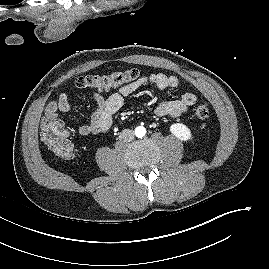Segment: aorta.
Segmentation results:
<instances>
[{"mask_svg":"<svg viewBox=\"0 0 269 269\" xmlns=\"http://www.w3.org/2000/svg\"><path fill=\"white\" fill-rule=\"evenodd\" d=\"M145 134H146V129L143 126H138L135 128V135L138 138L145 136Z\"/></svg>","mask_w":269,"mask_h":269,"instance_id":"obj_1","label":"aorta"}]
</instances>
